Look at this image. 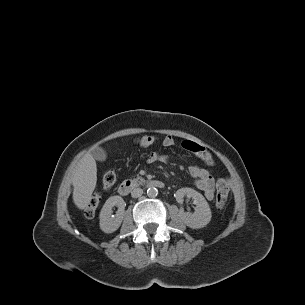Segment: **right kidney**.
Masks as SVG:
<instances>
[{
	"label": "right kidney",
	"instance_id": "1",
	"mask_svg": "<svg viewBox=\"0 0 305 305\" xmlns=\"http://www.w3.org/2000/svg\"><path fill=\"white\" fill-rule=\"evenodd\" d=\"M118 208L115 215H112V208ZM126 203L121 196L109 197L103 205L99 218L100 229L105 233L115 232L121 225L124 216Z\"/></svg>",
	"mask_w": 305,
	"mask_h": 305
}]
</instances>
